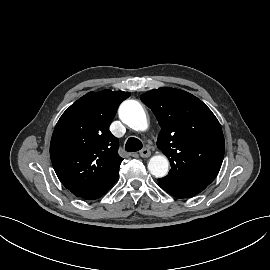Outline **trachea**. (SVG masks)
I'll list each match as a JSON object with an SVG mask.
<instances>
[{
	"label": "trachea",
	"instance_id": "3493384b",
	"mask_svg": "<svg viewBox=\"0 0 270 270\" xmlns=\"http://www.w3.org/2000/svg\"><path fill=\"white\" fill-rule=\"evenodd\" d=\"M143 147L142 145V142L135 138V137H130L127 142H126V145H125V149L128 151V152H136V151H139L141 150Z\"/></svg>",
	"mask_w": 270,
	"mask_h": 270
}]
</instances>
